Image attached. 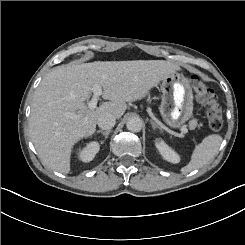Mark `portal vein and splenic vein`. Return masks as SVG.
I'll list each match as a JSON object with an SVG mask.
<instances>
[{
  "mask_svg": "<svg viewBox=\"0 0 245 245\" xmlns=\"http://www.w3.org/2000/svg\"><path fill=\"white\" fill-rule=\"evenodd\" d=\"M91 91L95 94V95H100L102 93V86L101 85H94L92 88H91ZM88 109L93 111L96 109V100H92L89 102L88 104ZM65 115L67 117H70L71 119H79L81 116L80 114L78 113H69V112H66ZM178 130L181 131L182 133H187V128L186 126H179L178 127Z\"/></svg>",
  "mask_w": 245,
  "mask_h": 245,
  "instance_id": "1",
  "label": "portal vein and splenic vein"
}]
</instances>
